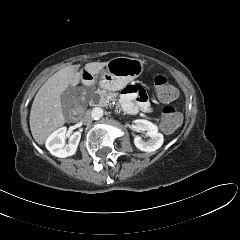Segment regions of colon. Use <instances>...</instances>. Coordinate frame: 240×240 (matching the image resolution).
Wrapping results in <instances>:
<instances>
[{
	"mask_svg": "<svg viewBox=\"0 0 240 240\" xmlns=\"http://www.w3.org/2000/svg\"><path fill=\"white\" fill-rule=\"evenodd\" d=\"M154 90L157 99L164 103L172 102L178 95L176 87L163 75L154 78ZM181 120L179 112L175 108L167 106L162 112L161 128L163 131L171 133L178 128Z\"/></svg>",
	"mask_w": 240,
	"mask_h": 240,
	"instance_id": "5ec220e1",
	"label": "colon"
}]
</instances>
